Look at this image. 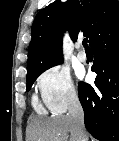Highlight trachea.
<instances>
[{"mask_svg": "<svg viewBox=\"0 0 119 141\" xmlns=\"http://www.w3.org/2000/svg\"><path fill=\"white\" fill-rule=\"evenodd\" d=\"M84 48L89 49L88 44H87V39H84L82 42Z\"/></svg>", "mask_w": 119, "mask_h": 141, "instance_id": "3493384b", "label": "trachea"}]
</instances>
